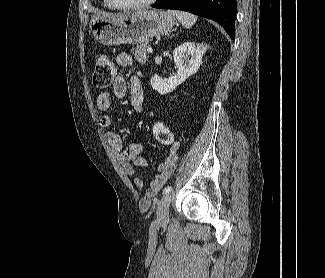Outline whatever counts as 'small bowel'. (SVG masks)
Returning a JSON list of instances; mask_svg holds the SVG:
<instances>
[{"mask_svg": "<svg viewBox=\"0 0 325 278\" xmlns=\"http://www.w3.org/2000/svg\"><path fill=\"white\" fill-rule=\"evenodd\" d=\"M116 64L121 68H132L134 61L131 55L127 53H121L116 57ZM130 92V103L132 108L140 113L143 110L144 92L141 80L138 76L133 74L130 77L129 82L122 75H118L115 79L112 93L116 98H123L127 91ZM111 106V94L110 92H102L97 97V107L99 111L103 113L100 118V125L103 128L110 127L112 123V117L108 114V110ZM106 140L117 155L119 160L124 166V169L129 175L136 174L137 167H148V162L140 156L143 146L139 141L133 142L126 146L122 145L120 135L115 131H108L106 133ZM169 145V151L166 158L158 165L156 169V175L149 183V188L146 190L147 197H154L166 181L171 177L175 168L180 143L173 140ZM134 185L137 189L144 187V180L141 177H135ZM145 204L148 201L144 202Z\"/></svg>", "mask_w": 325, "mask_h": 278, "instance_id": "small-bowel-1", "label": "small bowel"}]
</instances>
